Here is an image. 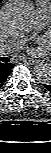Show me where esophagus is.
Masks as SVG:
<instances>
[{"instance_id":"esophagus-1","label":"esophagus","mask_w":51,"mask_h":153,"mask_svg":"<svg viewBox=\"0 0 51 153\" xmlns=\"http://www.w3.org/2000/svg\"><path fill=\"white\" fill-rule=\"evenodd\" d=\"M23 62H25L27 64H37L39 61L28 58V59H24Z\"/></svg>"}]
</instances>
